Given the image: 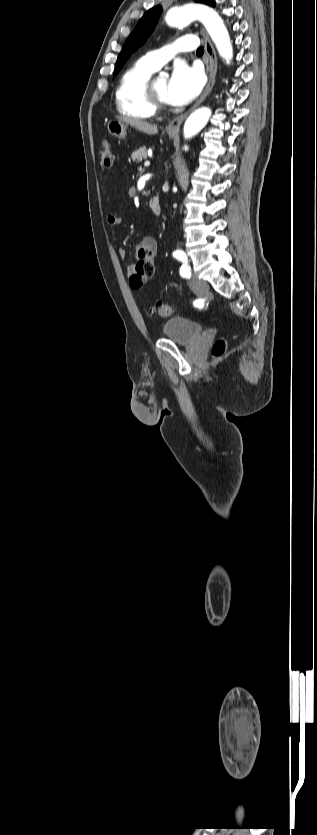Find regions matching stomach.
Here are the masks:
<instances>
[{
  "instance_id": "0dacf381",
  "label": "stomach",
  "mask_w": 317,
  "mask_h": 835,
  "mask_svg": "<svg viewBox=\"0 0 317 835\" xmlns=\"http://www.w3.org/2000/svg\"><path fill=\"white\" fill-rule=\"evenodd\" d=\"M127 127V124L121 120H111L107 124V131L111 136L122 139L126 136ZM167 133L170 137H174L176 135L175 132L171 131H167Z\"/></svg>"
}]
</instances>
